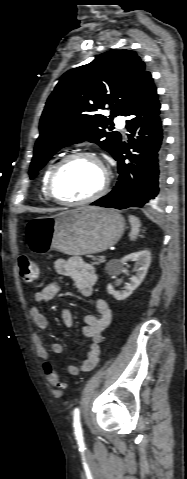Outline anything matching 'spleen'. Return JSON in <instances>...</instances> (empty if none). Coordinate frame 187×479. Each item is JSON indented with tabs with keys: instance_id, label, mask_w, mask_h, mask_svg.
<instances>
[{
	"instance_id": "3e777b00",
	"label": "spleen",
	"mask_w": 187,
	"mask_h": 479,
	"mask_svg": "<svg viewBox=\"0 0 187 479\" xmlns=\"http://www.w3.org/2000/svg\"><path fill=\"white\" fill-rule=\"evenodd\" d=\"M129 222L131 225V231L129 233L130 240H135L139 234L141 222L136 216L130 215Z\"/></svg>"
}]
</instances>
